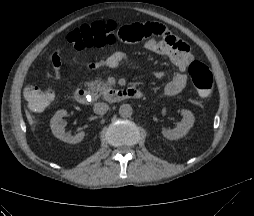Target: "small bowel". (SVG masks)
I'll return each instance as SVG.
<instances>
[{
    "label": "small bowel",
    "mask_w": 254,
    "mask_h": 216,
    "mask_svg": "<svg viewBox=\"0 0 254 216\" xmlns=\"http://www.w3.org/2000/svg\"><path fill=\"white\" fill-rule=\"evenodd\" d=\"M116 35L122 42L143 41L148 51L167 55L177 70L172 73L171 80L164 88V93L167 96H175L184 90L187 84L185 71L193 59L190 47L184 40L155 22L122 24L117 28ZM128 60L129 57L125 52L116 51L103 60L89 64L87 68L95 69L102 66L116 68L120 64L128 62ZM51 66L52 77L60 80L62 77V62L58 50L54 51L51 56ZM164 75V71L154 73V77L157 79L162 78Z\"/></svg>",
    "instance_id": "1"
}]
</instances>
